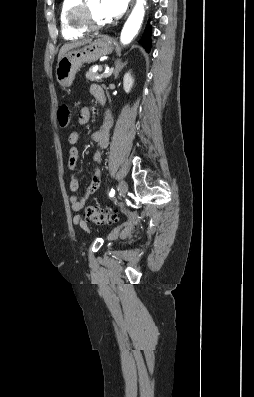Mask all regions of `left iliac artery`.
<instances>
[{"mask_svg":"<svg viewBox=\"0 0 254 397\" xmlns=\"http://www.w3.org/2000/svg\"><path fill=\"white\" fill-rule=\"evenodd\" d=\"M114 195H115V191H114V189H111V191L109 192V196L113 197Z\"/></svg>","mask_w":254,"mask_h":397,"instance_id":"left-iliac-artery-1","label":"left iliac artery"}]
</instances>
